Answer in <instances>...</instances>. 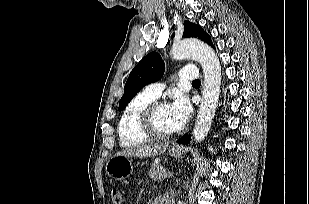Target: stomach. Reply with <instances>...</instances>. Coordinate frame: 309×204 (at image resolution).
I'll use <instances>...</instances> for the list:
<instances>
[{
  "label": "stomach",
  "instance_id": "stomach-1",
  "mask_svg": "<svg viewBox=\"0 0 309 204\" xmlns=\"http://www.w3.org/2000/svg\"><path fill=\"white\" fill-rule=\"evenodd\" d=\"M185 151L186 149L180 146L169 148V154L174 158H181ZM105 170L112 179L123 180L132 173L133 160L130 156L116 154L107 161Z\"/></svg>",
  "mask_w": 309,
  "mask_h": 204
}]
</instances>
